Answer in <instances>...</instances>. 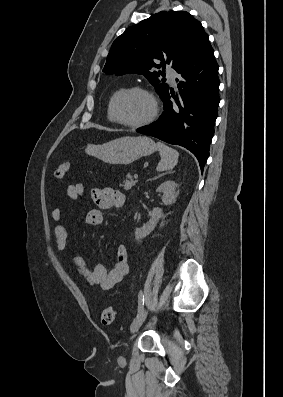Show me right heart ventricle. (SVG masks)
Returning <instances> with one entry per match:
<instances>
[{
	"label": "right heart ventricle",
	"instance_id": "obj_1",
	"mask_svg": "<svg viewBox=\"0 0 283 397\" xmlns=\"http://www.w3.org/2000/svg\"><path fill=\"white\" fill-rule=\"evenodd\" d=\"M124 89H126V86L117 87L116 89L113 90V92L111 93V95H110V97H109L108 104H107V118H108V120L111 121V122H116V121H115V118H114V115H113V112H112V103H113V100H114L115 96H116L119 92H121L122 90H124Z\"/></svg>",
	"mask_w": 283,
	"mask_h": 397
}]
</instances>
